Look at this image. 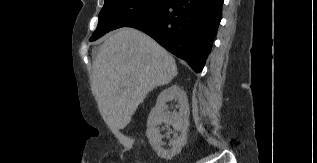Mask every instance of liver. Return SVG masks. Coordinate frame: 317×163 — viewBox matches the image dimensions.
Segmentation results:
<instances>
[{"mask_svg": "<svg viewBox=\"0 0 317 163\" xmlns=\"http://www.w3.org/2000/svg\"><path fill=\"white\" fill-rule=\"evenodd\" d=\"M177 75L173 57L145 33L123 27L110 33L93 63L92 93L111 130L124 129L154 88Z\"/></svg>", "mask_w": 317, "mask_h": 163, "instance_id": "liver-1", "label": "liver"}]
</instances>
